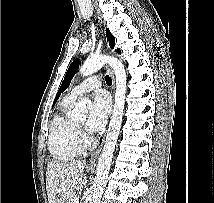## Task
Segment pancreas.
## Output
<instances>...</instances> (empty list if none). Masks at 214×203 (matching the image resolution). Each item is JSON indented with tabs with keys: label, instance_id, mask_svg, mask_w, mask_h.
<instances>
[{
	"label": "pancreas",
	"instance_id": "1",
	"mask_svg": "<svg viewBox=\"0 0 214 203\" xmlns=\"http://www.w3.org/2000/svg\"><path fill=\"white\" fill-rule=\"evenodd\" d=\"M66 203H76V198L72 197Z\"/></svg>",
	"mask_w": 214,
	"mask_h": 203
}]
</instances>
